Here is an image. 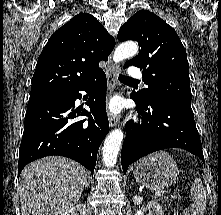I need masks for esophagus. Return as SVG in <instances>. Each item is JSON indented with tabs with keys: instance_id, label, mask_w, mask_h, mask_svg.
<instances>
[{
	"instance_id": "obj_1",
	"label": "esophagus",
	"mask_w": 221,
	"mask_h": 215,
	"mask_svg": "<svg viewBox=\"0 0 221 215\" xmlns=\"http://www.w3.org/2000/svg\"><path fill=\"white\" fill-rule=\"evenodd\" d=\"M119 70H120V66L119 65L114 66V65L108 64L106 66L105 74H106L108 90H109L110 94L113 93L115 91V89H116V84H117L116 73ZM118 123H119L118 117H116L113 114H110L109 115V125L111 127H115V126L118 125Z\"/></svg>"
}]
</instances>
